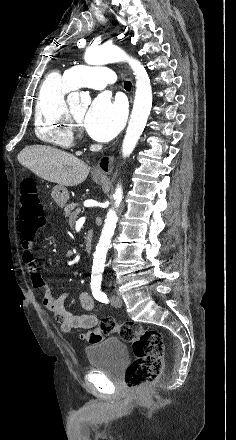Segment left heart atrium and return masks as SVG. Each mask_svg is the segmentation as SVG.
<instances>
[{
    "label": "left heart atrium",
    "instance_id": "1",
    "mask_svg": "<svg viewBox=\"0 0 236 440\" xmlns=\"http://www.w3.org/2000/svg\"><path fill=\"white\" fill-rule=\"evenodd\" d=\"M124 119L123 105L103 94L91 103L84 117V127L93 139L106 142L120 131Z\"/></svg>",
    "mask_w": 236,
    "mask_h": 440
}]
</instances>
